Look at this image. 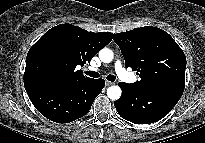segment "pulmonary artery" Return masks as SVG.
<instances>
[{
    "label": "pulmonary artery",
    "instance_id": "obj_1",
    "mask_svg": "<svg viewBox=\"0 0 205 143\" xmlns=\"http://www.w3.org/2000/svg\"><path fill=\"white\" fill-rule=\"evenodd\" d=\"M92 70H97V68L92 67ZM115 71L120 79L125 82L131 83L135 81V77L128 73L122 66L121 62L118 60L115 62Z\"/></svg>",
    "mask_w": 205,
    "mask_h": 143
}]
</instances>
